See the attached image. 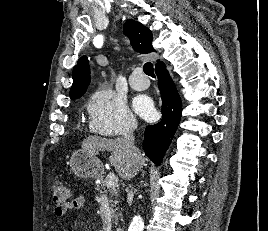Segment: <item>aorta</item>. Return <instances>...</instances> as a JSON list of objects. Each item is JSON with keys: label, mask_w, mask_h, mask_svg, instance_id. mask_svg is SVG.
Masks as SVG:
<instances>
[{"label": "aorta", "mask_w": 268, "mask_h": 231, "mask_svg": "<svg viewBox=\"0 0 268 231\" xmlns=\"http://www.w3.org/2000/svg\"><path fill=\"white\" fill-rule=\"evenodd\" d=\"M144 222L140 215L133 217V220L129 226V231H143Z\"/></svg>", "instance_id": "obj_1"}]
</instances>
